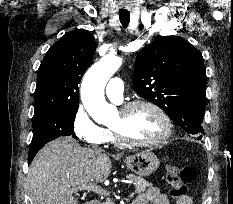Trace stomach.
Returning a JSON list of instances; mask_svg holds the SVG:
<instances>
[{
	"mask_svg": "<svg viewBox=\"0 0 233 204\" xmlns=\"http://www.w3.org/2000/svg\"><path fill=\"white\" fill-rule=\"evenodd\" d=\"M125 163L133 173L143 177L156 171L160 162L156 155L150 151H142L126 157Z\"/></svg>",
	"mask_w": 233,
	"mask_h": 204,
	"instance_id": "stomach-1",
	"label": "stomach"
}]
</instances>
